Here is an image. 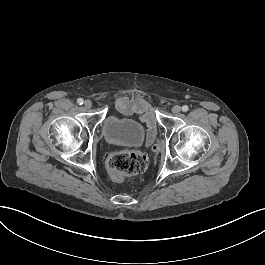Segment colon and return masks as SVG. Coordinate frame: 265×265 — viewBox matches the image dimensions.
<instances>
[{"label":"colon","mask_w":265,"mask_h":265,"mask_svg":"<svg viewBox=\"0 0 265 265\" xmlns=\"http://www.w3.org/2000/svg\"><path fill=\"white\" fill-rule=\"evenodd\" d=\"M158 147L155 148L157 150ZM148 165V156L137 150H124L111 155L107 170L117 182H126L132 176L143 173Z\"/></svg>","instance_id":"5ec220e1"}]
</instances>
